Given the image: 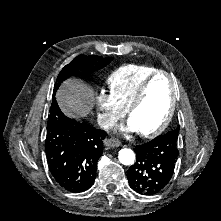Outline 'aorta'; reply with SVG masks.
<instances>
[{"instance_id": "1", "label": "aorta", "mask_w": 221, "mask_h": 221, "mask_svg": "<svg viewBox=\"0 0 221 221\" xmlns=\"http://www.w3.org/2000/svg\"><path fill=\"white\" fill-rule=\"evenodd\" d=\"M119 161L124 165H132L135 160L134 152L129 148H124L119 151Z\"/></svg>"}]
</instances>
